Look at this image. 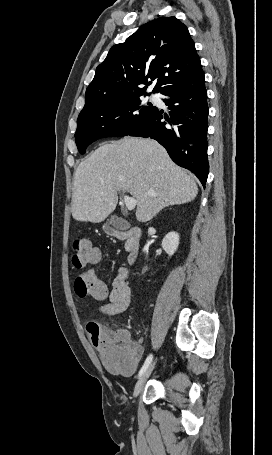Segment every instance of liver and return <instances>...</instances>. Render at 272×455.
<instances>
[{
    "label": "liver",
    "mask_w": 272,
    "mask_h": 455,
    "mask_svg": "<svg viewBox=\"0 0 272 455\" xmlns=\"http://www.w3.org/2000/svg\"><path fill=\"white\" fill-rule=\"evenodd\" d=\"M121 191L136 198V218L147 222L166 206L194 200L198 187L159 143L126 137L102 144L77 167L73 218L103 221L115 210Z\"/></svg>",
    "instance_id": "liver-1"
}]
</instances>
